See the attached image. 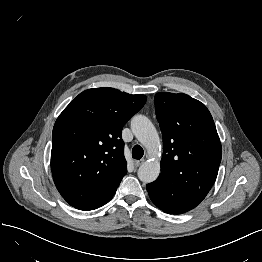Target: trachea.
<instances>
[{
    "label": "trachea",
    "instance_id": "3493384b",
    "mask_svg": "<svg viewBox=\"0 0 262 262\" xmlns=\"http://www.w3.org/2000/svg\"><path fill=\"white\" fill-rule=\"evenodd\" d=\"M144 155V150L140 145H135L132 149V157L134 159H141Z\"/></svg>",
    "mask_w": 262,
    "mask_h": 262
}]
</instances>
